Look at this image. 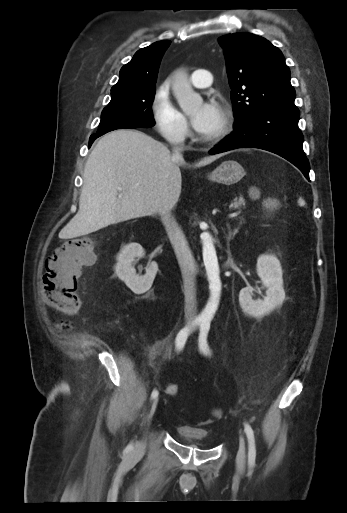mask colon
Returning a JSON list of instances; mask_svg holds the SVG:
<instances>
[{
  "mask_svg": "<svg viewBox=\"0 0 347 513\" xmlns=\"http://www.w3.org/2000/svg\"><path fill=\"white\" fill-rule=\"evenodd\" d=\"M94 261L92 240L73 238L61 244L47 261L44 288L51 306L62 313H75L81 307L77 281L82 268ZM167 394L176 397L177 385L167 387Z\"/></svg>",
  "mask_w": 347,
  "mask_h": 513,
  "instance_id": "5ec220e1",
  "label": "colon"
}]
</instances>
